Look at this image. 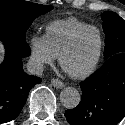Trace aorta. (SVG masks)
I'll return each mask as SVG.
<instances>
[{"label":"aorta","instance_id":"1","mask_svg":"<svg viewBox=\"0 0 125 125\" xmlns=\"http://www.w3.org/2000/svg\"><path fill=\"white\" fill-rule=\"evenodd\" d=\"M81 100L80 93L76 88L66 87L60 93V101L67 109L75 108Z\"/></svg>","mask_w":125,"mask_h":125}]
</instances>
